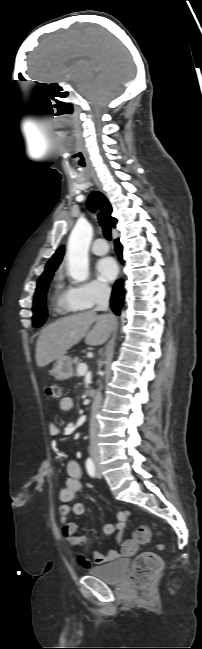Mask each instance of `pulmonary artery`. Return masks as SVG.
<instances>
[{"mask_svg":"<svg viewBox=\"0 0 202 649\" xmlns=\"http://www.w3.org/2000/svg\"><path fill=\"white\" fill-rule=\"evenodd\" d=\"M108 250L109 247L106 241L102 238L96 239L91 246V252L95 255H104Z\"/></svg>","mask_w":202,"mask_h":649,"instance_id":"1","label":"pulmonary artery"}]
</instances>
